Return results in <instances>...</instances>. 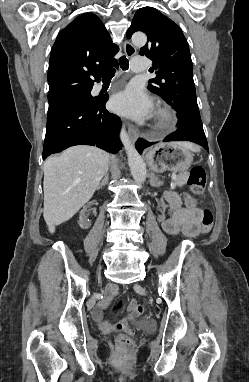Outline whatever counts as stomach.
Returning <instances> with one entry per match:
<instances>
[{"label": "stomach", "instance_id": "1", "mask_svg": "<svg viewBox=\"0 0 249 382\" xmlns=\"http://www.w3.org/2000/svg\"><path fill=\"white\" fill-rule=\"evenodd\" d=\"M149 167L154 172H186L193 161V154L182 142L161 143L146 154Z\"/></svg>", "mask_w": 249, "mask_h": 382}]
</instances>
